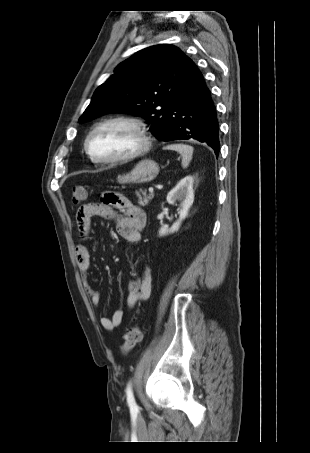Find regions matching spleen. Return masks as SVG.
Returning <instances> with one entry per match:
<instances>
[{
    "label": "spleen",
    "instance_id": "spleen-1",
    "mask_svg": "<svg viewBox=\"0 0 310 453\" xmlns=\"http://www.w3.org/2000/svg\"><path fill=\"white\" fill-rule=\"evenodd\" d=\"M165 150H173L181 154L182 167L187 168L193 156V147L186 144H171L164 147Z\"/></svg>",
    "mask_w": 310,
    "mask_h": 453
}]
</instances>
